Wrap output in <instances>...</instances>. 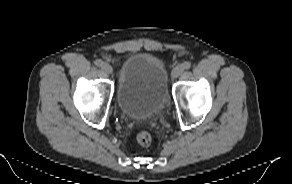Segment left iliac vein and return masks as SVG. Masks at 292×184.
<instances>
[{
  "label": "left iliac vein",
  "mask_w": 292,
  "mask_h": 184,
  "mask_svg": "<svg viewBox=\"0 0 292 184\" xmlns=\"http://www.w3.org/2000/svg\"><path fill=\"white\" fill-rule=\"evenodd\" d=\"M183 72V67L180 65V66H176L173 70H172V73H171V76L173 79L177 78L178 76L181 75V73Z\"/></svg>",
  "instance_id": "left-iliac-vein-1"
}]
</instances>
